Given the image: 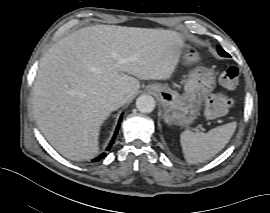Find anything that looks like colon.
I'll use <instances>...</instances> for the list:
<instances>
[{"label":"colon","mask_w":270,"mask_h":213,"mask_svg":"<svg viewBox=\"0 0 270 213\" xmlns=\"http://www.w3.org/2000/svg\"><path fill=\"white\" fill-rule=\"evenodd\" d=\"M239 72L237 67H228L220 76V85L224 90H234L238 85ZM233 105V99L223 95L215 94L208 98L203 106V115L208 119L223 117Z\"/></svg>","instance_id":"colon-1"}]
</instances>
